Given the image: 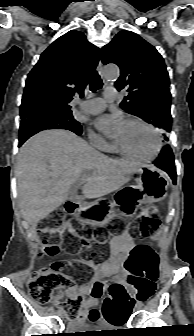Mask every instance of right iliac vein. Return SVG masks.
I'll return each instance as SVG.
<instances>
[{"mask_svg":"<svg viewBox=\"0 0 194 336\" xmlns=\"http://www.w3.org/2000/svg\"><path fill=\"white\" fill-rule=\"evenodd\" d=\"M58 314L61 316L63 314V310H59Z\"/></svg>","mask_w":194,"mask_h":336,"instance_id":"obj_1","label":"right iliac vein"}]
</instances>
